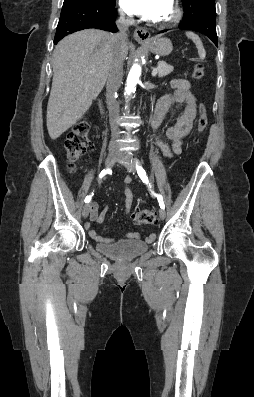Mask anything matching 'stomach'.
Instances as JSON below:
<instances>
[{"mask_svg":"<svg viewBox=\"0 0 254 397\" xmlns=\"http://www.w3.org/2000/svg\"><path fill=\"white\" fill-rule=\"evenodd\" d=\"M142 45L150 49L152 53L160 56H167L173 50L170 39L160 36L153 37L149 42L142 43Z\"/></svg>","mask_w":254,"mask_h":397,"instance_id":"0dacf381","label":"stomach"}]
</instances>
